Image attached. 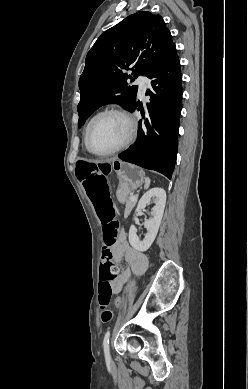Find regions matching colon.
<instances>
[{"mask_svg": "<svg viewBox=\"0 0 248 389\" xmlns=\"http://www.w3.org/2000/svg\"><path fill=\"white\" fill-rule=\"evenodd\" d=\"M78 177L89 200L92 202L96 214L103 226L104 246L102 251V264L99 284V306L101 321L108 323L113 319L110 308L112 297V283L115 280L118 268L113 262L110 248L115 244L119 223L116 220L110 189L108 174L112 171L110 161H78ZM124 296L117 294L114 298V309L120 310Z\"/></svg>", "mask_w": 248, "mask_h": 389, "instance_id": "5ec220e1", "label": "colon"}]
</instances>
